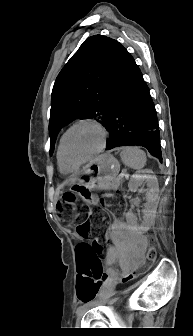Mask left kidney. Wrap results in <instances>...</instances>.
Instances as JSON below:
<instances>
[{
	"instance_id": "obj_1",
	"label": "left kidney",
	"mask_w": 193,
	"mask_h": 336,
	"mask_svg": "<svg viewBox=\"0 0 193 336\" xmlns=\"http://www.w3.org/2000/svg\"><path fill=\"white\" fill-rule=\"evenodd\" d=\"M145 184L148 189H141V192H146L147 199L145 209L143 210L144 216L142 223L138 224L132 212H127L125 215L127 222L139 231H147L154 222L157 209L156 200L159 192L158 180L157 177L152 174L151 170H142L133 174L128 183V188L132 192H136L140 186Z\"/></svg>"
}]
</instances>
